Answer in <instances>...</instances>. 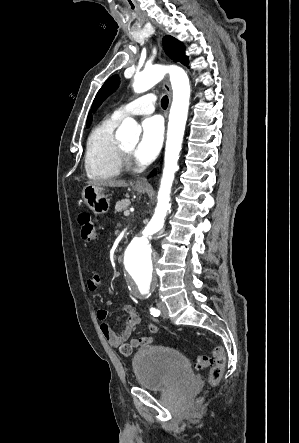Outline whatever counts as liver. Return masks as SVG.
<instances>
[{
    "label": "liver",
    "mask_w": 299,
    "mask_h": 443,
    "mask_svg": "<svg viewBox=\"0 0 299 443\" xmlns=\"http://www.w3.org/2000/svg\"><path fill=\"white\" fill-rule=\"evenodd\" d=\"M93 186H108V187H127L129 184L124 180H92L88 182Z\"/></svg>",
    "instance_id": "liver-1"
}]
</instances>
